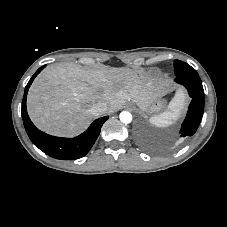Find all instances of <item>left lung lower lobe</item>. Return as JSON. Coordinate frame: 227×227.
Returning <instances> with one entry per match:
<instances>
[{
	"mask_svg": "<svg viewBox=\"0 0 227 227\" xmlns=\"http://www.w3.org/2000/svg\"><path fill=\"white\" fill-rule=\"evenodd\" d=\"M175 81L183 85L192 98L187 116L180 130L181 137L192 136L202 119L204 110V93L200 78L176 77Z\"/></svg>",
	"mask_w": 227,
	"mask_h": 227,
	"instance_id": "obj_1",
	"label": "left lung lower lobe"
}]
</instances>
